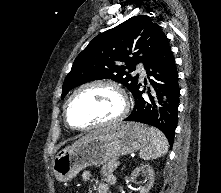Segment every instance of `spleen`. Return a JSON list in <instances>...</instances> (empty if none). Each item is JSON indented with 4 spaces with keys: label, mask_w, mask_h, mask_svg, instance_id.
<instances>
[{
    "label": "spleen",
    "mask_w": 221,
    "mask_h": 193,
    "mask_svg": "<svg viewBox=\"0 0 221 193\" xmlns=\"http://www.w3.org/2000/svg\"><path fill=\"white\" fill-rule=\"evenodd\" d=\"M168 151V141L165 135L157 128H150V143L144 147L139 156L143 160L157 159Z\"/></svg>",
    "instance_id": "obj_1"
}]
</instances>
